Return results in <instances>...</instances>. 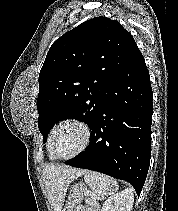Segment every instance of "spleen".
Listing matches in <instances>:
<instances>
[{
  "label": "spleen",
  "instance_id": "obj_1",
  "mask_svg": "<svg viewBox=\"0 0 178 211\" xmlns=\"http://www.w3.org/2000/svg\"><path fill=\"white\" fill-rule=\"evenodd\" d=\"M84 180L89 188L98 196H114L118 191L117 181L105 174L86 171Z\"/></svg>",
  "mask_w": 178,
  "mask_h": 211
}]
</instances>
